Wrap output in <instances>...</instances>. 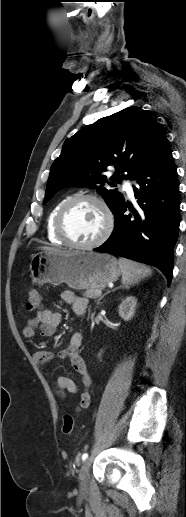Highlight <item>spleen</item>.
I'll return each instance as SVG.
<instances>
[{"instance_id": "1", "label": "spleen", "mask_w": 186, "mask_h": 517, "mask_svg": "<svg viewBox=\"0 0 186 517\" xmlns=\"http://www.w3.org/2000/svg\"><path fill=\"white\" fill-rule=\"evenodd\" d=\"M119 267L122 272V283L126 287L138 284L142 279L152 274L149 267L125 258H119Z\"/></svg>"}]
</instances>
